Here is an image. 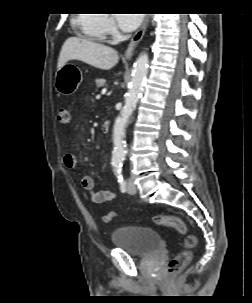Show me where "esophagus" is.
Instances as JSON below:
<instances>
[{"label":"esophagus","mask_w":252,"mask_h":303,"mask_svg":"<svg viewBox=\"0 0 252 303\" xmlns=\"http://www.w3.org/2000/svg\"><path fill=\"white\" fill-rule=\"evenodd\" d=\"M149 21H150V15L146 14L140 28L137 30V32L132 37L130 43L128 44V47L125 51L126 59H130L133 56L136 46L144 36Z\"/></svg>","instance_id":"obj_1"}]
</instances>
